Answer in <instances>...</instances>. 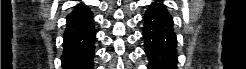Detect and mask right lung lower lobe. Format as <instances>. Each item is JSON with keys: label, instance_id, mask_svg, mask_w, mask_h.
Segmentation results:
<instances>
[{"label": "right lung lower lobe", "instance_id": "1", "mask_svg": "<svg viewBox=\"0 0 246 69\" xmlns=\"http://www.w3.org/2000/svg\"><path fill=\"white\" fill-rule=\"evenodd\" d=\"M92 15L84 4H79L67 16L62 55L63 69L93 68L96 32Z\"/></svg>", "mask_w": 246, "mask_h": 69}]
</instances>
